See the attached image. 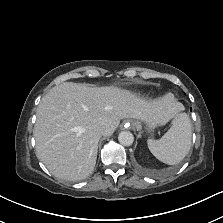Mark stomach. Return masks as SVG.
I'll return each mask as SVG.
<instances>
[{
    "mask_svg": "<svg viewBox=\"0 0 223 223\" xmlns=\"http://www.w3.org/2000/svg\"><path fill=\"white\" fill-rule=\"evenodd\" d=\"M132 125L137 129V130H141L142 128H145L147 130H152L154 129V126L152 125V123L148 122V121H143V120H136L132 122Z\"/></svg>",
    "mask_w": 223,
    "mask_h": 223,
    "instance_id": "stomach-1",
    "label": "stomach"
}]
</instances>
